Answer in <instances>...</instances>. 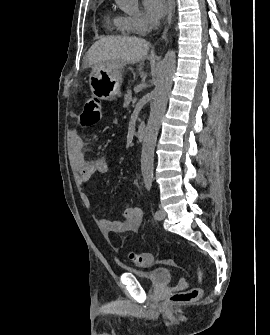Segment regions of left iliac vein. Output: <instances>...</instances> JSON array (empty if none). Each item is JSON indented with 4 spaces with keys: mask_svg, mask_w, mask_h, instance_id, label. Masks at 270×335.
<instances>
[{
    "mask_svg": "<svg viewBox=\"0 0 270 335\" xmlns=\"http://www.w3.org/2000/svg\"><path fill=\"white\" fill-rule=\"evenodd\" d=\"M166 217V211L163 208L159 209V216L156 218L158 220H163Z\"/></svg>",
    "mask_w": 270,
    "mask_h": 335,
    "instance_id": "left-iliac-vein-1",
    "label": "left iliac vein"
}]
</instances>
